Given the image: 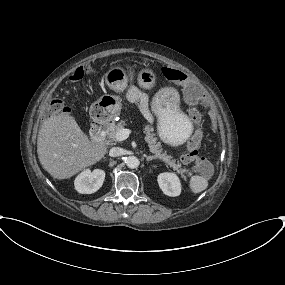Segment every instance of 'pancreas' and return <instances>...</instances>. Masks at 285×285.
<instances>
[{
    "label": "pancreas",
    "instance_id": "cf45deb5",
    "mask_svg": "<svg viewBox=\"0 0 285 285\" xmlns=\"http://www.w3.org/2000/svg\"><path fill=\"white\" fill-rule=\"evenodd\" d=\"M126 125L125 121L121 120L117 124L111 123L110 126L107 128V138L111 141H117L116 140V133L123 129ZM144 133L145 141L148 143L149 150L151 153L154 154V157L156 159H160L163 162H165L168 166L172 167L174 170H176L178 173L181 174L183 178H185L184 173L190 174V171L187 169H182V165L180 163H176L175 160L171 157L166 155L165 152L162 150V145L160 142H157V137H155V133L153 132V127L146 125L144 127Z\"/></svg>",
    "mask_w": 285,
    "mask_h": 285
}]
</instances>
